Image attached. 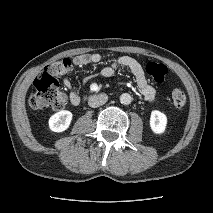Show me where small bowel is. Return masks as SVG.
<instances>
[{"label":"small bowel","mask_w":213,"mask_h":213,"mask_svg":"<svg viewBox=\"0 0 213 213\" xmlns=\"http://www.w3.org/2000/svg\"><path fill=\"white\" fill-rule=\"evenodd\" d=\"M102 61V56L98 53H88L77 55L73 58V63L77 66H86L89 64H96ZM119 68H123L131 73L137 83L139 91L143 95L146 101L152 102L156 96L155 88L148 82L145 72L141 64L134 58L126 55L115 57L111 63L103 67L100 71V74L103 77L109 78L112 77ZM90 77L85 78L83 81L86 82ZM64 86L69 90V99L73 105L80 103V96L74 90L72 81L69 78L63 80Z\"/></svg>","instance_id":"small-bowel-1"}]
</instances>
